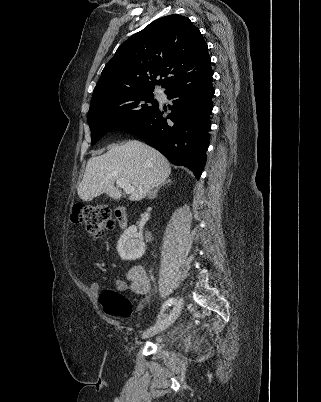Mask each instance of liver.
<instances>
[{
  "label": "liver",
  "instance_id": "6515ba94",
  "mask_svg": "<svg viewBox=\"0 0 321 402\" xmlns=\"http://www.w3.org/2000/svg\"><path fill=\"white\" fill-rule=\"evenodd\" d=\"M170 173V164L159 151L138 140H129L111 146L103 155L91 157L77 192L84 201L103 193L118 200L122 191L114 183L124 178L135 188L129 200L140 201L151 189L164 183Z\"/></svg>",
  "mask_w": 321,
  "mask_h": 402
}]
</instances>
